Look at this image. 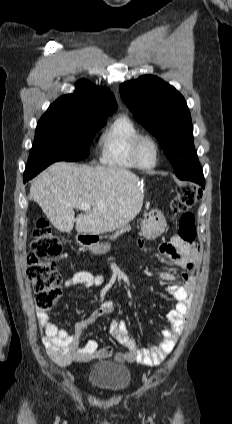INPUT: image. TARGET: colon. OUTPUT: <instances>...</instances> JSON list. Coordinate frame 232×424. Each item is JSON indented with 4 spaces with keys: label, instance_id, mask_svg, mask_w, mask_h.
Instances as JSON below:
<instances>
[{
    "label": "colon",
    "instance_id": "5ec220e1",
    "mask_svg": "<svg viewBox=\"0 0 232 424\" xmlns=\"http://www.w3.org/2000/svg\"><path fill=\"white\" fill-rule=\"evenodd\" d=\"M202 198L199 189L189 184H181L171 202L174 214H181L178 236L185 242L196 239L195 217L189 210ZM35 239L27 257L26 275L31 280L35 292V304L40 310L53 309L58 301L61 276L55 262L61 257L62 243L45 220H39L35 228Z\"/></svg>",
    "mask_w": 232,
    "mask_h": 424
}]
</instances>
